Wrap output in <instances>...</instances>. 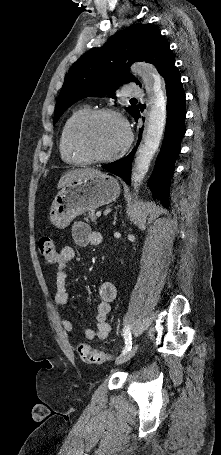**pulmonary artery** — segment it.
<instances>
[{
  "label": "pulmonary artery",
  "mask_w": 221,
  "mask_h": 455,
  "mask_svg": "<svg viewBox=\"0 0 221 455\" xmlns=\"http://www.w3.org/2000/svg\"><path fill=\"white\" fill-rule=\"evenodd\" d=\"M124 93H125V95L130 96V97H138V96H143L144 95L143 90L140 87H138L137 85H134V84L127 85V87L125 88Z\"/></svg>",
  "instance_id": "pulmonary-artery-1"
}]
</instances>
